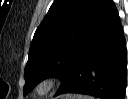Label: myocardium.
<instances>
[{"mask_svg": "<svg viewBox=\"0 0 128 99\" xmlns=\"http://www.w3.org/2000/svg\"><path fill=\"white\" fill-rule=\"evenodd\" d=\"M60 83L61 79L58 76H47L35 85L34 94L37 96H46L50 94Z\"/></svg>", "mask_w": 128, "mask_h": 99, "instance_id": "myocardium-1", "label": "myocardium"}]
</instances>
